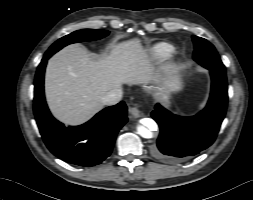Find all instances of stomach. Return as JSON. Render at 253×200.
I'll use <instances>...</instances> for the list:
<instances>
[{
  "label": "stomach",
  "mask_w": 253,
  "mask_h": 200,
  "mask_svg": "<svg viewBox=\"0 0 253 200\" xmlns=\"http://www.w3.org/2000/svg\"><path fill=\"white\" fill-rule=\"evenodd\" d=\"M182 84V79L176 72L163 78L161 96L166 106H171L170 96L172 93L179 91L182 88Z\"/></svg>",
  "instance_id": "obj_1"
}]
</instances>
